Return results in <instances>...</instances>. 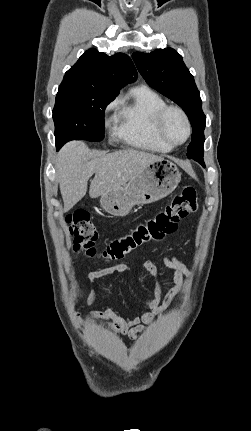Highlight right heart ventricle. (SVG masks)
<instances>
[{
  "label": "right heart ventricle",
  "instance_id": "1",
  "mask_svg": "<svg viewBox=\"0 0 251 431\" xmlns=\"http://www.w3.org/2000/svg\"><path fill=\"white\" fill-rule=\"evenodd\" d=\"M166 105L164 99L148 87L134 88L127 99L119 102L114 135L126 144L156 153H168L172 147L157 136L154 121Z\"/></svg>",
  "mask_w": 251,
  "mask_h": 431
}]
</instances>
